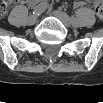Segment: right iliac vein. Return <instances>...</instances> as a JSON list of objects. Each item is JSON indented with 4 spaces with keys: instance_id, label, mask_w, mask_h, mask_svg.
<instances>
[{
    "instance_id": "right-iliac-vein-1",
    "label": "right iliac vein",
    "mask_w": 103,
    "mask_h": 103,
    "mask_svg": "<svg viewBox=\"0 0 103 103\" xmlns=\"http://www.w3.org/2000/svg\"><path fill=\"white\" fill-rule=\"evenodd\" d=\"M38 20V16L37 15H31L29 18H28V24L29 25H34Z\"/></svg>"
}]
</instances>
